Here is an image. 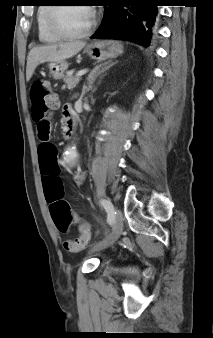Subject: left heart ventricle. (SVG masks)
<instances>
[{"label": "left heart ventricle", "instance_id": "left-heart-ventricle-1", "mask_svg": "<svg viewBox=\"0 0 213 338\" xmlns=\"http://www.w3.org/2000/svg\"><path fill=\"white\" fill-rule=\"evenodd\" d=\"M91 12L84 6L60 8L57 12L59 27L68 33L83 31L91 21Z\"/></svg>", "mask_w": 213, "mask_h": 338}]
</instances>
